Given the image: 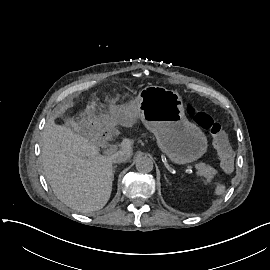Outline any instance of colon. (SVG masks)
<instances>
[{
	"label": "colon",
	"mask_w": 270,
	"mask_h": 270,
	"mask_svg": "<svg viewBox=\"0 0 270 270\" xmlns=\"http://www.w3.org/2000/svg\"><path fill=\"white\" fill-rule=\"evenodd\" d=\"M188 112L193 117L194 122L210 134L211 140L222 158L220 172L222 174L232 173L234 171L233 152L221 125L206 112L196 111L195 108L190 106Z\"/></svg>",
	"instance_id": "5ec220e1"
}]
</instances>
